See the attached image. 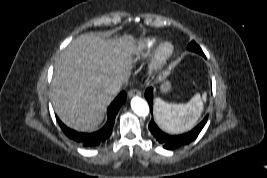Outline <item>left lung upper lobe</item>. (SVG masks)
Returning <instances> with one entry per match:
<instances>
[{"label":"left lung upper lobe","instance_id":"left-lung-upper-lobe-1","mask_svg":"<svg viewBox=\"0 0 267 178\" xmlns=\"http://www.w3.org/2000/svg\"><path fill=\"white\" fill-rule=\"evenodd\" d=\"M188 50L197 52V53H199L200 55L204 56L203 51L201 50V48H200L194 41H192V42L188 45Z\"/></svg>","mask_w":267,"mask_h":178}]
</instances>
